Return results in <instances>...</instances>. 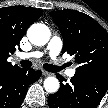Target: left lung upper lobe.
Listing matches in <instances>:
<instances>
[{"label":"left lung upper lobe","instance_id":"left-lung-upper-lobe-1","mask_svg":"<svg viewBox=\"0 0 108 108\" xmlns=\"http://www.w3.org/2000/svg\"><path fill=\"white\" fill-rule=\"evenodd\" d=\"M63 36V53L74 55L76 74H108V33L90 16L76 10L53 11Z\"/></svg>","mask_w":108,"mask_h":108}]
</instances>
